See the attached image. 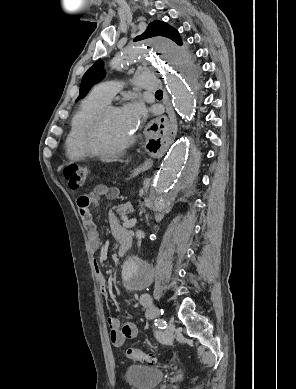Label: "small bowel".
<instances>
[{"label":"small bowel","instance_id":"c3829d8e","mask_svg":"<svg viewBox=\"0 0 296 389\" xmlns=\"http://www.w3.org/2000/svg\"><path fill=\"white\" fill-rule=\"evenodd\" d=\"M118 195L117 188H107L106 186H96L90 193L81 195L77 200V206L82 223L87 231L90 248L92 251H97L101 245L99 233L91 213V207L95 206L101 197L110 199ZM110 230L118 240L124 236H131V234L124 229L118 222L114 213L109 215ZM96 276L100 283L101 294L108 297V287L105 277L100 269V265L95 261ZM139 304L145 309V317L151 318L154 315L155 307L152 298L148 294H141L139 297ZM109 327L110 341L113 346L121 347L128 339H133L138 334V325L136 322H127L121 325L118 318L110 316L107 319Z\"/></svg>","mask_w":296,"mask_h":389}]
</instances>
